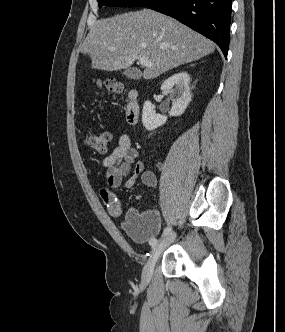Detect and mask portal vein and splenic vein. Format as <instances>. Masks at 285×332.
Here are the masks:
<instances>
[{"instance_id": "18ae733b", "label": "portal vein and splenic vein", "mask_w": 285, "mask_h": 332, "mask_svg": "<svg viewBox=\"0 0 285 332\" xmlns=\"http://www.w3.org/2000/svg\"><path fill=\"white\" fill-rule=\"evenodd\" d=\"M111 51H114V48H110ZM139 62L141 65L146 66V67H151L152 63L147 59V58H140Z\"/></svg>"}]
</instances>
